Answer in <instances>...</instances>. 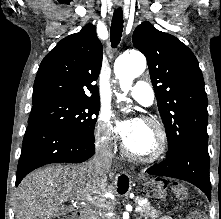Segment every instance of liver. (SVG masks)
Returning a JSON list of instances; mask_svg holds the SVG:
<instances>
[{
	"mask_svg": "<svg viewBox=\"0 0 221 219\" xmlns=\"http://www.w3.org/2000/svg\"><path fill=\"white\" fill-rule=\"evenodd\" d=\"M112 193L106 176L95 173L91 161L77 166H48L30 173L15 192L16 219H52L69 200H86L104 207ZM90 198L88 200L87 198Z\"/></svg>",
	"mask_w": 221,
	"mask_h": 219,
	"instance_id": "obj_1",
	"label": "liver"
}]
</instances>
